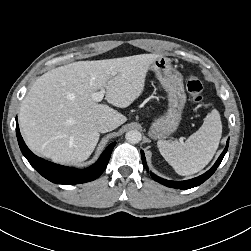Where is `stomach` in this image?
Returning <instances> with one entry per match:
<instances>
[{"label": "stomach", "mask_w": 251, "mask_h": 251, "mask_svg": "<svg viewBox=\"0 0 251 251\" xmlns=\"http://www.w3.org/2000/svg\"><path fill=\"white\" fill-rule=\"evenodd\" d=\"M150 69L155 72L157 79L167 92L168 109L154 119L149 136L153 139H162L176 131L182 118L186 103V93L182 74L173 68L167 57L160 56L151 64Z\"/></svg>", "instance_id": "stomach-1"}]
</instances>
